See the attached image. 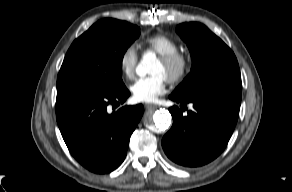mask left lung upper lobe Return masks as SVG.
Returning <instances> with one entry per match:
<instances>
[{
	"instance_id": "left-lung-upper-lobe-1",
	"label": "left lung upper lobe",
	"mask_w": 292,
	"mask_h": 192,
	"mask_svg": "<svg viewBox=\"0 0 292 192\" xmlns=\"http://www.w3.org/2000/svg\"><path fill=\"white\" fill-rule=\"evenodd\" d=\"M176 32L186 42L192 68L171 95L180 98L229 92L242 93L239 65L232 50L201 23H183Z\"/></svg>"
}]
</instances>
